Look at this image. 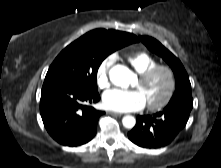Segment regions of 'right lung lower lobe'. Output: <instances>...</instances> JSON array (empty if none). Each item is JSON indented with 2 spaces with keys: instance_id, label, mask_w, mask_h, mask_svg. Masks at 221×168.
Instances as JSON below:
<instances>
[{
  "instance_id": "right-lung-lower-lobe-1",
  "label": "right lung lower lobe",
  "mask_w": 221,
  "mask_h": 168,
  "mask_svg": "<svg viewBox=\"0 0 221 168\" xmlns=\"http://www.w3.org/2000/svg\"><path fill=\"white\" fill-rule=\"evenodd\" d=\"M99 100L98 91L67 82L44 81L40 113L46 130L62 145L89 142L96 134L99 117L104 114L89 104Z\"/></svg>"
}]
</instances>
